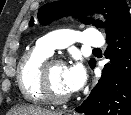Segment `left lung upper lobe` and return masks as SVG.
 I'll use <instances>...</instances> for the list:
<instances>
[{"label":"left lung upper lobe","instance_id":"left-lung-upper-lobe-1","mask_svg":"<svg viewBox=\"0 0 131 115\" xmlns=\"http://www.w3.org/2000/svg\"><path fill=\"white\" fill-rule=\"evenodd\" d=\"M101 13L105 16L107 23L96 21L98 27L107 28V37L110 36L119 25L128 18L129 9L126 0H63L47 3L39 8L38 20L41 24L46 25L53 20L69 14L84 15ZM81 20L90 24L93 21L90 18L81 17ZM34 23L33 18L30 26ZM90 66L95 64V60H90Z\"/></svg>","mask_w":131,"mask_h":115}]
</instances>
